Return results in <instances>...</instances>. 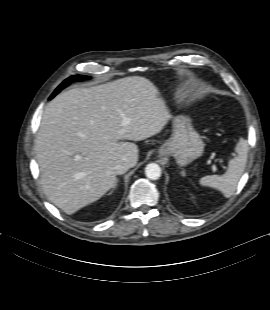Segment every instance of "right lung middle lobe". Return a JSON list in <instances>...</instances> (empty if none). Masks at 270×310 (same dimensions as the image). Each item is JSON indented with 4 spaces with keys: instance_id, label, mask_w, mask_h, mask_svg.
I'll use <instances>...</instances> for the list:
<instances>
[{
    "instance_id": "obj_1",
    "label": "right lung middle lobe",
    "mask_w": 270,
    "mask_h": 310,
    "mask_svg": "<svg viewBox=\"0 0 270 310\" xmlns=\"http://www.w3.org/2000/svg\"><path fill=\"white\" fill-rule=\"evenodd\" d=\"M88 77L86 76H80V75H75V76H71L68 79H66L61 85H59V87L54 91V93L51 95L50 99H52L57 93H59L65 86H67L68 84H70V82L72 81H76V80H82V79H87Z\"/></svg>"
}]
</instances>
